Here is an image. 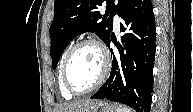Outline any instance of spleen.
Segmentation results:
<instances>
[{"label": "spleen", "mask_w": 193, "mask_h": 112, "mask_svg": "<svg viewBox=\"0 0 193 112\" xmlns=\"http://www.w3.org/2000/svg\"><path fill=\"white\" fill-rule=\"evenodd\" d=\"M116 112H131L129 108L117 109Z\"/></svg>", "instance_id": "spleen-1"}]
</instances>
